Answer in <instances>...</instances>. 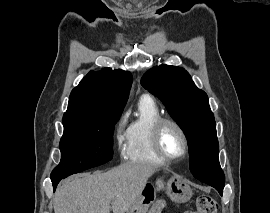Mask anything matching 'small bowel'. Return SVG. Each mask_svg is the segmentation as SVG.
Returning <instances> with one entry per match:
<instances>
[{"instance_id":"obj_1","label":"small bowel","mask_w":270,"mask_h":213,"mask_svg":"<svg viewBox=\"0 0 270 213\" xmlns=\"http://www.w3.org/2000/svg\"><path fill=\"white\" fill-rule=\"evenodd\" d=\"M164 207H165V202L162 200H158L153 204L149 213H162Z\"/></svg>"}]
</instances>
